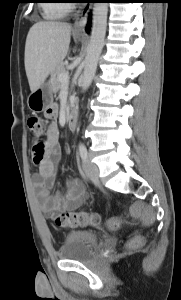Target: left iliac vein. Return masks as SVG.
I'll list each match as a JSON object with an SVG mask.
<instances>
[{
    "label": "left iliac vein",
    "instance_id": "left-iliac-vein-1",
    "mask_svg": "<svg viewBox=\"0 0 181 300\" xmlns=\"http://www.w3.org/2000/svg\"><path fill=\"white\" fill-rule=\"evenodd\" d=\"M86 176L94 183L99 184V168L96 164L86 160L83 163Z\"/></svg>",
    "mask_w": 181,
    "mask_h": 300
}]
</instances>
